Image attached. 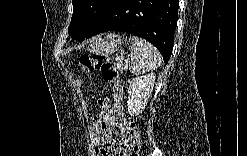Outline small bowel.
I'll list each match as a JSON object with an SVG mask.
<instances>
[{
    "mask_svg": "<svg viewBox=\"0 0 247 156\" xmlns=\"http://www.w3.org/2000/svg\"><path fill=\"white\" fill-rule=\"evenodd\" d=\"M123 89L113 88L111 98H103L98 102L101 112L94 116L90 127V136L94 143L93 151L96 155H127L131 137L122 107ZM120 130V139L115 140L113 129Z\"/></svg>",
    "mask_w": 247,
    "mask_h": 156,
    "instance_id": "1",
    "label": "small bowel"
}]
</instances>
